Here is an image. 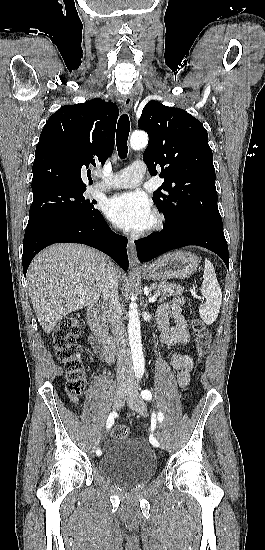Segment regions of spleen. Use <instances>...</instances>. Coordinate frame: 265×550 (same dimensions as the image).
Instances as JSON below:
<instances>
[{"mask_svg": "<svg viewBox=\"0 0 265 550\" xmlns=\"http://www.w3.org/2000/svg\"><path fill=\"white\" fill-rule=\"evenodd\" d=\"M201 292L206 301L200 305L199 313L203 322L211 325L218 316L222 302V292L216 278L214 266L208 259H205Z\"/></svg>", "mask_w": 265, "mask_h": 550, "instance_id": "3e777b00", "label": "spleen"}]
</instances>
